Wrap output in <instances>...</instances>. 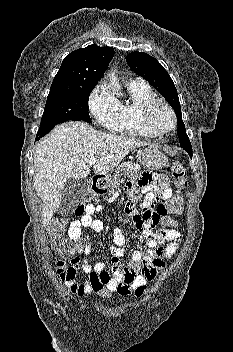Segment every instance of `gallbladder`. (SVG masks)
Segmentation results:
<instances>
[{
	"label": "gallbladder",
	"mask_w": 233,
	"mask_h": 352,
	"mask_svg": "<svg viewBox=\"0 0 233 352\" xmlns=\"http://www.w3.org/2000/svg\"><path fill=\"white\" fill-rule=\"evenodd\" d=\"M88 187V182L82 179H68L61 191L59 213L66 215L72 212L81 202Z\"/></svg>",
	"instance_id": "bac80fb5"
}]
</instances>
